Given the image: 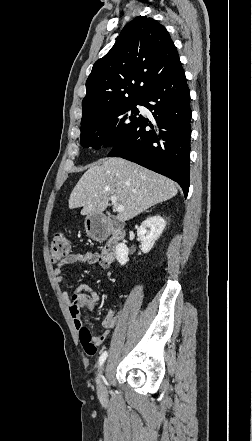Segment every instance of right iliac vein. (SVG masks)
<instances>
[{"mask_svg": "<svg viewBox=\"0 0 252 441\" xmlns=\"http://www.w3.org/2000/svg\"><path fill=\"white\" fill-rule=\"evenodd\" d=\"M103 371H104V367L102 368V374H101V378H100V385H99V397L100 398H106L107 393H106V389L103 383Z\"/></svg>", "mask_w": 252, "mask_h": 441, "instance_id": "1", "label": "right iliac vein"}]
</instances>
